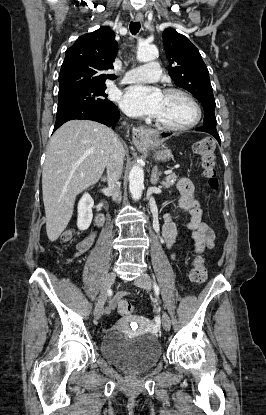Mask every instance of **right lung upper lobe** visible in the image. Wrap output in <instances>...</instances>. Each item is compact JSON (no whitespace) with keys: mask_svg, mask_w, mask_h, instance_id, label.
Wrapping results in <instances>:
<instances>
[{"mask_svg":"<svg viewBox=\"0 0 266 415\" xmlns=\"http://www.w3.org/2000/svg\"><path fill=\"white\" fill-rule=\"evenodd\" d=\"M117 51L114 32L108 26L79 37L66 50L59 74V93L105 85L106 79H115L103 72L113 68Z\"/></svg>","mask_w":266,"mask_h":415,"instance_id":"cb5924a9","label":"right lung upper lobe"}]
</instances>
